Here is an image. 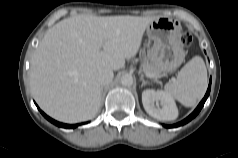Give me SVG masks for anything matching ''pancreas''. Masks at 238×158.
<instances>
[{"label": "pancreas", "mask_w": 238, "mask_h": 158, "mask_svg": "<svg viewBox=\"0 0 238 158\" xmlns=\"http://www.w3.org/2000/svg\"><path fill=\"white\" fill-rule=\"evenodd\" d=\"M142 70L147 74V75H159L158 70L155 68L154 65L150 63H143L142 64Z\"/></svg>", "instance_id": "pancreas-1"}]
</instances>
